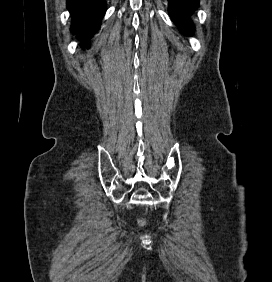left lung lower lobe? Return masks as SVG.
Segmentation results:
<instances>
[{
	"label": "left lung lower lobe",
	"instance_id": "left-lung-lower-lobe-1",
	"mask_svg": "<svg viewBox=\"0 0 272 282\" xmlns=\"http://www.w3.org/2000/svg\"><path fill=\"white\" fill-rule=\"evenodd\" d=\"M169 14L181 31L191 33L194 29L190 15L198 7L199 0H168Z\"/></svg>",
	"mask_w": 272,
	"mask_h": 282
}]
</instances>
